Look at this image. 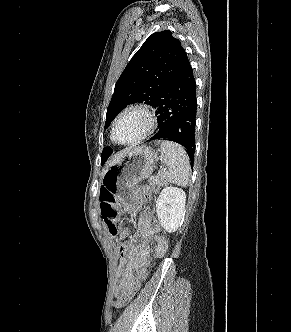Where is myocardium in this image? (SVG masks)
Returning <instances> with one entry per match:
<instances>
[{
	"label": "myocardium",
	"mask_w": 291,
	"mask_h": 332,
	"mask_svg": "<svg viewBox=\"0 0 291 332\" xmlns=\"http://www.w3.org/2000/svg\"><path fill=\"white\" fill-rule=\"evenodd\" d=\"M130 111H140L146 116V118H147V129L138 138H136L134 140H131V141L123 142V141L118 139V137L116 135V129H117V125H118L120 119L126 113H128ZM156 127H157V117H156V114H155L154 110L152 109V107L148 104H145V103H135V104H131V105L127 106L126 108H124L118 114V116L116 117V119L113 123L112 137H113L114 141L117 142L118 144H121V145H136V144L141 143L145 139H147L149 136H151L153 134V132L155 131Z\"/></svg>",
	"instance_id": "1"
}]
</instances>
